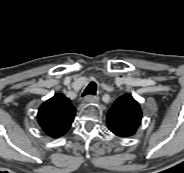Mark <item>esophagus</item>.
I'll use <instances>...</instances> for the list:
<instances>
[{
  "label": "esophagus",
  "mask_w": 184,
  "mask_h": 173,
  "mask_svg": "<svg viewBox=\"0 0 184 173\" xmlns=\"http://www.w3.org/2000/svg\"><path fill=\"white\" fill-rule=\"evenodd\" d=\"M83 101L87 103H96L99 101V97L93 96V95H87L84 97Z\"/></svg>",
  "instance_id": "1"
}]
</instances>
